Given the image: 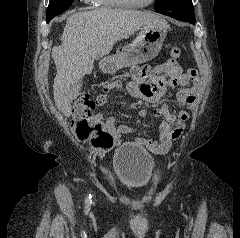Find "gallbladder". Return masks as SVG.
Instances as JSON below:
<instances>
[{"label":"gallbladder","instance_id":"gallbladder-1","mask_svg":"<svg viewBox=\"0 0 240 238\" xmlns=\"http://www.w3.org/2000/svg\"><path fill=\"white\" fill-rule=\"evenodd\" d=\"M81 87V84L80 83H77L73 86V92H74V95H76V93L78 92V90L80 89Z\"/></svg>","mask_w":240,"mask_h":238}]
</instances>
